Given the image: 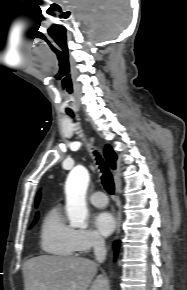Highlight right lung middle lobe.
<instances>
[{"mask_svg":"<svg viewBox=\"0 0 187 290\" xmlns=\"http://www.w3.org/2000/svg\"><path fill=\"white\" fill-rule=\"evenodd\" d=\"M37 219H38V216L36 217V219H35L34 223L37 221Z\"/></svg>","mask_w":187,"mask_h":290,"instance_id":"right-lung-middle-lobe-1","label":"right lung middle lobe"}]
</instances>
